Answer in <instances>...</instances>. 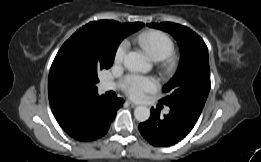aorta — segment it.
Wrapping results in <instances>:
<instances>
[{
	"mask_svg": "<svg viewBox=\"0 0 261 162\" xmlns=\"http://www.w3.org/2000/svg\"><path fill=\"white\" fill-rule=\"evenodd\" d=\"M124 66L134 72H147L151 69L148 59L140 52H130L125 56ZM134 116L138 121L145 122L150 117V109L146 106H138L134 110Z\"/></svg>",
	"mask_w": 261,
	"mask_h": 162,
	"instance_id": "aorta-1",
	"label": "aorta"
}]
</instances>
